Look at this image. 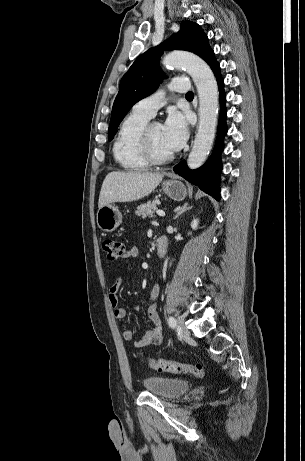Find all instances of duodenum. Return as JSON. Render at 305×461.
Returning <instances> with one entry per match:
<instances>
[{"mask_svg":"<svg viewBox=\"0 0 305 461\" xmlns=\"http://www.w3.org/2000/svg\"><path fill=\"white\" fill-rule=\"evenodd\" d=\"M157 253L160 258H163L167 251V239L160 237L157 239Z\"/></svg>","mask_w":305,"mask_h":461,"instance_id":"410a0bca","label":"duodenum"}]
</instances>
